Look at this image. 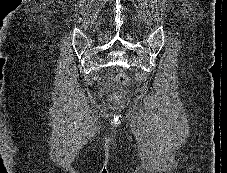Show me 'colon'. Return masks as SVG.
Segmentation results:
<instances>
[{
	"label": "colon",
	"instance_id": "5ec220e1",
	"mask_svg": "<svg viewBox=\"0 0 227 173\" xmlns=\"http://www.w3.org/2000/svg\"><path fill=\"white\" fill-rule=\"evenodd\" d=\"M118 80H119V82H121V83H125V82L127 81L126 76L123 75V74H120V75L118 76Z\"/></svg>",
	"mask_w": 227,
	"mask_h": 173
}]
</instances>
